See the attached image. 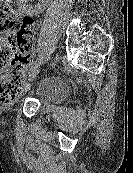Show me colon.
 I'll list each match as a JSON object with an SVG mask.
<instances>
[{
  "mask_svg": "<svg viewBox=\"0 0 133 173\" xmlns=\"http://www.w3.org/2000/svg\"><path fill=\"white\" fill-rule=\"evenodd\" d=\"M33 20L0 6V102L11 103L22 88L21 63L31 50Z\"/></svg>",
  "mask_w": 133,
  "mask_h": 173,
  "instance_id": "1",
  "label": "colon"
}]
</instances>
